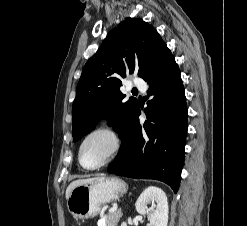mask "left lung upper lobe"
Returning a JSON list of instances; mask_svg holds the SVG:
<instances>
[{"mask_svg": "<svg viewBox=\"0 0 247 226\" xmlns=\"http://www.w3.org/2000/svg\"><path fill=\"white\" fill-rule=\"evenodd\" d=\"M166 44L159 33L142 19L126 18L109 32L98 51L85 64L73 103L74 141L107 117L117 133L129 123L138 101L120 92L121 78L138 72L144 77Z\"/></svg>", "mask_w": 247, "mask_h": 226, "instance_id": "5c2ea615", "label": "left lung upper lobe"}]
</instances>
